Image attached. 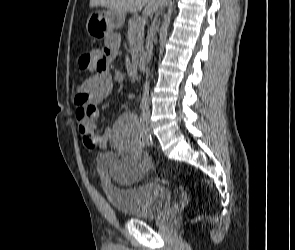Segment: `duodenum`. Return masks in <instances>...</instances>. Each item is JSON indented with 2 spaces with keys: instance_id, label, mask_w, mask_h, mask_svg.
<instances>
[{
  "instance_id": "410a0bca",
  "label": "duodenum",
  "mask_w": 295,
  "mask_h": 250,
  "mask_svg": "<svg viewBox=\"0 0 295 250\" xmlns=\"http://www.w3.org/2000/svg\"><path fill=\"white\" fill-rule=\"evenodd\" d=\"M136 60H137V67L139 71L144 72L147 66L145 55L141 52L138 53Z\"/></svg>"
}]
</instances>
